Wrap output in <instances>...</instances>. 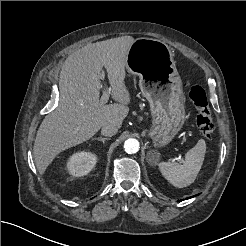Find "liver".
<instances>
[{"label":"liver","mask_w":246,"mask_h":246,"mask_svg":"<svg viewBox=\"0 0 246 246\" xmlns=\"http://www.w3.org/2000/svg\"><path fill=\"white\" fill-rule=\"evenodd\" d=\"M134 40L122 36L87 44L65 60L59 75V104L43 119L34 142V161L41 175L60 152L90 139L104 125L121 127L129 113L131 98L124 80ZM103 67L117 103H100Z\"/></svg>","instance_id":"liver-1"}]
</instances>
